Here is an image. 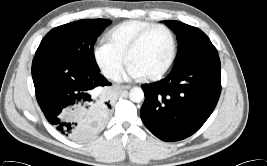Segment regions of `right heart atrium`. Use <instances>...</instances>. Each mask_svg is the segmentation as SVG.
I'll use <instances>...</instances> for the list:
<instances>
[{"instance_id":"obj_1","label":"right heart atrium","mask_w":267,"mask_h":166,"mask_svg":"<svg viewBox=\"0 0 267 166\" xmlns=\"http://www.w3.org/2000/svg\"><path fill=\"white\" fill-rule=\"evenodd\" d=\"M98 62L104 67L116 66L120 59L106 44H99L95 49Z\"/></svg>"}]
</instances>
